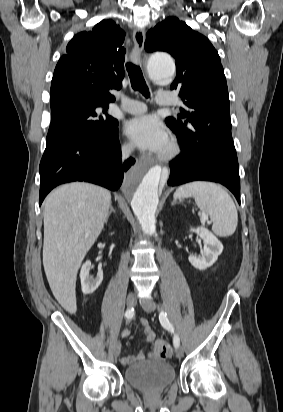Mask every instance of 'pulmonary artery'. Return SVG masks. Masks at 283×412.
I'll return each mask as SVG.
<instances>
[{"label": "pulmonary artery", "instance_id": "obj_1", "mask_svg": "<svg viewBox=\"0 0 283 412\" xmlns=\"http://www.w3.org/2000/svg\"><path fill=\"white\" fill-rule=\"evenodd\" d=\"M156 102L160 106H171L175 103V96L170 92L160 93ZM123 109L130 114H141L146 111V105L141 101L125 98Z\"/></svg>", "mask_w": 283, "mask_h": 412}]
</instances>
